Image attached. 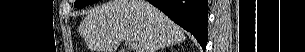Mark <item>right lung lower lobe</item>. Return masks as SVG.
<instances>
[{
    "label": "right lung lower lobe",
    "instance_id": "obj_1",
    "mask_svg": "<svg viewBox=\"0 0 305 52\" xmlns=\"http://www.w3.org/2000/svg\"><path fill=\"white\" fill-rule=\"evenodd\" d=\"M189 31L203 50L207 44L208 0H147Z\"/></svg>",
    "mask_w": 305,
    "mask_h": 52
}]
</instances>
